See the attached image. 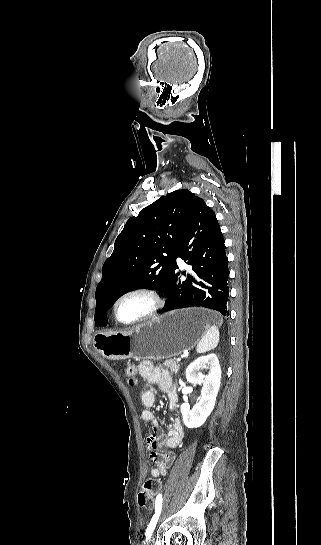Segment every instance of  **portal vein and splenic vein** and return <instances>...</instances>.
Segmentation results:
<instances>
[{
    "label": "portal vein and splenic vein",
    "mask_w": 321,
    "mask_h": 545,
    "mask_svg": "<svg viewBox=\"0 0 321 545\" xmlns=\"http://www.w3.org/2000/svg\"><path fill=\"white\" fill-rule=\"evenodd\" d=\"M181 358H186V355H181ZM181 358H178V361H181Z\"/></svg>",
    "instance_id": "obj_1"
}]
</instances>
